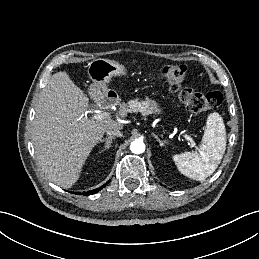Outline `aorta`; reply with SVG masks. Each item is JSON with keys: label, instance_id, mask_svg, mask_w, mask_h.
I'll use <instances>...</instances> for the list:
<instances>
[{"label": "aorta", "instance_id": "obj_1", "mask_svg": "<svg viewBox=\"0 0 259 259\" xmlns=\"http://www.w3.org/2000/svg\"><path fill=\"white\" fill-rule=\"evenodd\" d=\"M130 150L134 154H141L145 151V144L143 141L135 140L130 144Z\"/></svg>", "mask_w": 259, "mask_h": 259}]
</instances>
